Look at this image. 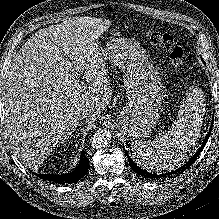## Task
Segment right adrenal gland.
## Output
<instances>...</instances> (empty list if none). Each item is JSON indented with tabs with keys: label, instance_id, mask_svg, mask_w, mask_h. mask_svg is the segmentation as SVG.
Returning a JSON list of instances; mask_svg holds the SVG:
<instances>
[{
	"label": "right adrenal gland",
	"instance_id": "2a0ac1e0",
	"mask_svg": "<svg viewBox=\"0 0 219 219\" xmlns=\"http://www.w3.org/2000/svg\"><path fill=\"white\" fill-rule=\"evenodd\" d=\"M74 131H75V130H73V131L70 133V136L73 134Z\"/></svg>",
	"mask_w": 219,
	"mask_h": 219
}]
</instances>
